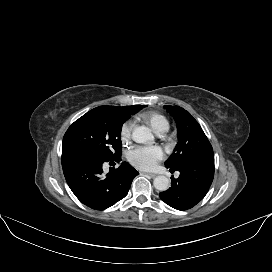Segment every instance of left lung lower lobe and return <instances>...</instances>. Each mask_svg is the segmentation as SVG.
<instances>
[{
    "instance_id": "left-lung-lower-lobe-1",
    "label": "left lung lower lobe",
    "mask_w": 272,
    "mask_h": 272,
    "mask_svg": "<svg viewBox=\"0 0 272 272\" xmlns=\"http://www.w3.org/2000/svg\"><path fill=\"white\" fill-rule=\"evenodd\" d=\"M180 175L172 177L171 187L160 198L177 210H188L200 202L208 192L214 177V155L187 161L178 168Z\"/></svg>"
}]
</instances>
